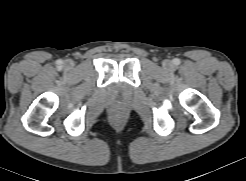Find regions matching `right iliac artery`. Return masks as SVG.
Listing matches in <instances>:
<instances>
[{"instance_id":"82829eb1","label":"right iliac artery","mask_w":246,"mask_h":181,"mask_svg":"<svg viewBox=\"0 0 246 181\" xmlns=\"http://www.w3.org/2000/svg\"><path fill=\"white\" fill-rule=\"evenodd\" d=\"M63 62L62 61H58V64L61 65Z\"/></svg>"}]
</instances>
